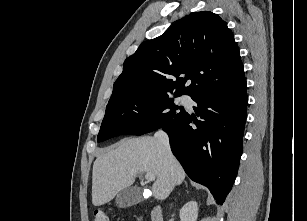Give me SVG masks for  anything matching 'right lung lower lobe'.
<instances>
[{
  "label": "right lung lower lobe",
  "instance_id": "right-lung-lower-lobe-1",
  "mask_svg": "<svg viewBox=\"0 0 307 221\" xmlns=\"http://www.w3.org/2000/svg\"><path fill=\"white\" fill-rule=\"evenodd\" d=\"M246 89L245 82L236 89L197 97L193 100L199 122L186 113L163 127L187 175L205 185L218 204H223L237 176L248 104Z\"/></svg>",
  "mask_w": 307,
  "mask_h": 221
}]
</instances>
